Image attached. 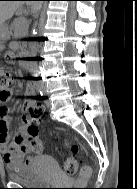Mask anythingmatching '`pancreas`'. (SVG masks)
Listing matches in <instances>:
<instances>
[{"instance_id":"pancreas-1","label":"pancreas","mask_w":137,"mask_h":189,"mask_svg":"<svg viewBox=\"0 0 137 189\" xmlns=\"http://www.w3.org/2000/svg\"><path fill=\"white\" fill-rule=\"evenodd\" d=\"M28 27L29 25L23 17L15 19L12 25L14 37L15 38L25 37L28 33Z\"/></svg>"}]
</instances>
